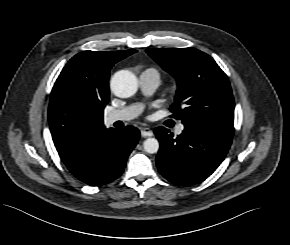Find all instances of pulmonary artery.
Listing matches in <instances>:
<instances>
[{
  "mask_svg": "<svg viewBox=\"0 0 290 245\" xmlns=\"http://www.w3.org/2000/svg\"><path fill=\"white\" fill-rule=\"evenodd\" d=\"M139 85L145 95H152L160 85V76L157 70L147 69L143 71L139 76ZM142 108V105L134 104L108 112L104 117L105 123L113 124L117 121H129L137 117ZM183 129V125H180L176 129V133L180 134Z\"/></svg>",
  "mask_w": 290,
  "mask_h": 245,
  "instance_id": "1",
  "label": "pulmonary artery"
}]
</instances>
